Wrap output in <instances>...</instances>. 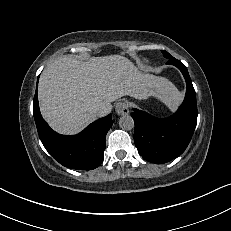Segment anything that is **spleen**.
Instances as JSON below:
<instances>
[{
	"instance_id": "3e777b00",
	"label": "spleen",
	"mask_w": 231,
	"mask_h": 231,
	"mask_svg": "<svg viewBox=\"0 0 231 231\" xmlns=\"http://www.w3.org/2000/svg\"><path fill=\"white\" fill-rule=\"evenodd\" d=\"M178 104V98L174 100L172 103L169 104V106H176Z\"/></svg>"
}]
</instances>
